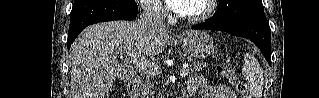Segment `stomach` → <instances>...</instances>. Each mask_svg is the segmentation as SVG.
I'll use <instances>...</instances> for the list:
<instances>
[{
  "label": "stomach",
  "mask_w": 319,
  "mask_h": 98,
  "mask_svg": "<svg viewBox=\"0 0 319 98\" xmlns=\"http://www.w3.org/2000/svg\"><path fill=\"white\" fill-rule=\"evenodd\" d=\"M182 46L186 54L193 58L203 59L214 50L213 40L203 31H187L182 37Z\"/></svg>",
  "instance_id": "stomach-1"
}]
</instances>
